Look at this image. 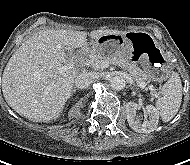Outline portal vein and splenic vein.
I'll use <instances>...</instances> for the list:
<instances>
[{
	"instance_id": "obj_1",
	"label": "portal vein and splenic vein",
	"mask_w": 190,
	"mask_h": 165,
	"mask_svg": "<svg viewBox=\"0 0 190 165\" xmlns=\"http://www.w3.org/2000/svg\"><path fill=\"white\" fill-rule=\"evenodd\" d=\"M60 55H64L63 53H60ZM90 63H93V61H91ZM76 64V60H71L69 63H67L66 65L62 66L60 69H59V72L60 73H63L65 72L66 70L72 68L74 65ZM109 62H102L101 63V68H108L109 67ZM140 87H145V84H141ZM150 89L153 90V86H150Z\"/></svg>"
}]
</instances>
